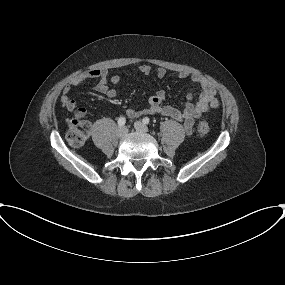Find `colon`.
I'll return each mask as SVG.
<instances>
[{
  "label": "colon",
  "instance_id": "5ec220e1",
  "mask_svg": "<svg viewBox=\"0 0 285 285\" xmlns=\"http://www.w3.org/2000/svg\"><path fill=\"white\" fill-rule=\"evenodd\" d=\"M91 132V124L77 115L67 123L66 140L72 147H81L87 141ZM197 132L201 137L209 133V124L206 120H201L197 125Z\"/></svg>",
  "mask_w": 285,
  "mask_h": 285
}]
</instances>
